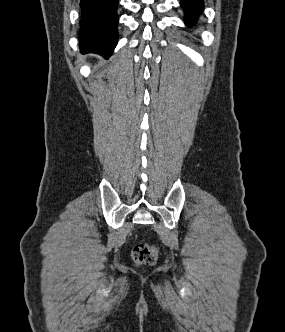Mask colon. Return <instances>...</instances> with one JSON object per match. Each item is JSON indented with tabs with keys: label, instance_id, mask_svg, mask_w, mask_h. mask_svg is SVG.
<instances>
[{
	"label": "colon",
	"instance_id": "colon-1",
	"mask_svg": "<svg viewBox=\"0 0 285 332\" xmlns=\"http://www.w3.org/2000/svg\"><path fill=\"white\" fill-rule=\"evenodd\" d=\"M131 256L135 263L143 266H151L156 262L157 251L151 244L140 243L133 247Z\"/></svg>",
	"mask_w": 285,
	"mask_h": 332
}]
</instances>
